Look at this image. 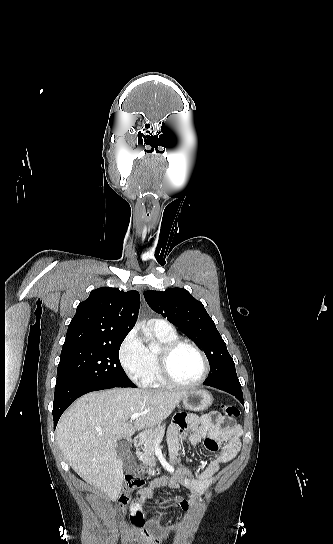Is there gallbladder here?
Instances as JSON below:
<instances>
[{"label":"gallbladder","instance_id":"gallbladder-1","mask_svg":"<svg viewBox=\"0 0 333 544\" xmlns=\"http://www.w3.org/2000/svg\"><path fill=\"white\" fill-rule=\"evenodd\" d=\"M116 453L119 458L122 459L123 467L126 471L135 473L137 470V465L134 460V456L130 451L129 441H121L117 444Z\"/></svg>","mask_w":333,"mask_h":544}]
</instances>
